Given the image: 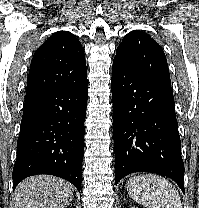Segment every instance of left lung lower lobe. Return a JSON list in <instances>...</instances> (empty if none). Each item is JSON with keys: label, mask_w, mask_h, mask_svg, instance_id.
<instances>
[{"label": "left lung lower lobe", "mask_w": 199, "mask_h": 208, "mask_svg": "<svg viewBox=\"0 0 199 208\" xmlns=\"http://www.w3.org/2000/svg\"><path fill=\"white\" fill-rule=\"evenodd\" d=\"M115 184L133 172L173 179L184 190V163L171 85L112 67Z\"/></svg>", "instance_id": "obj_1"}]
</instances>
